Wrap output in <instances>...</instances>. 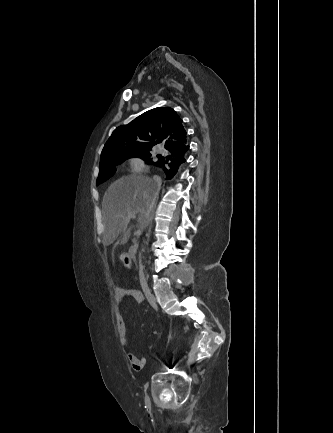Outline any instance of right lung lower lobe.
Wrapping results in <instances>:
<instances>
[{
    "instance_id": "98d812e1",
    "label": "right lung lower lobe",
    "mask_w": 333,
    "mask_h": 433,
    "mask_svg": "<svg viewBox=\"0 0 333 433\" xmlns=\"http://www.w3.org/2000/svg\"><path fill=\"white\" fill-rule=\"evenodd\" d=\"M189 145H184L174 150H169L171 159L159 158L155 166L159 167L166 175V179H171L178 171L180 165L186 161V152Z\"/></svg>"
}]
</instances>
